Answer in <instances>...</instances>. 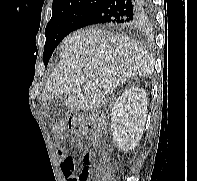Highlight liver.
I'll return each instance as SVG.
<instances>
[{
	"instance_id": "obj_1",
	"label": "liver",
	"mask_w": 197,
	"mask_h": 181,
	"mask_svg": "<svg viewBox=\"0 0 197 181\" xmlns=\"http://www.w3.org/2000/svg\"><path fill=\"white\" fill-rule=\"evenodd\" d=\"M42 105L63 94L71 110H92L127 79L153 72V60L134 40L99 28L76 31L60 44Z\"/></svg>"
}]
</instances>
